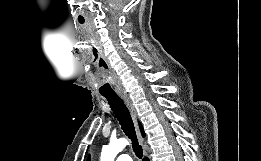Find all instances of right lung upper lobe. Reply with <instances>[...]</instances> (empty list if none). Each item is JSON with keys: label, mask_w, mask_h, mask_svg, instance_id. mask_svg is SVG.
Listing matches in <instances>:
<instances>
[{"label": "right lung upper lobe", "mask_w": 261, "mask_h": 161, "mask_svg": "<svg viewBox=\"0 0 261 161\" xmlns=\"http://www.w3.org/2000/svg\"><path fill=\"white\" fill-rule=\"evenodd\" d=\"M140 129H141L142 135L145 136V133H144L143 128H142L141 125H140ZM87 161H90V157H88Z\"/></svg>", "instance_id": "1"}]
</instances>
